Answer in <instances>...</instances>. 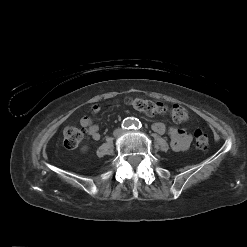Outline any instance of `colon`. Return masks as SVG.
Segmentation results:
<instances>
[{"label":"colon","instance_id":"colon-1","mask_svg":"<svg viewBox=\"0 0 247 247\" xmlns=\"http://www.w3.org/2000/svg\"><path fill=\"white\" fill-rule=\"evenodd\" d=\"M126 103L148 116L170 115L176 122H186L190 117L188 110L177 104L169 107L163 103L144 98H128ZM82 139L83 132L79 128L73 126L64 128L63 141L67 149L77 148ZM194 143L198 149H206L209 144L207 134L201 129H196L194 131Z\"/></svg>","mask_w":247,"mask_h":247}]
</instances>
